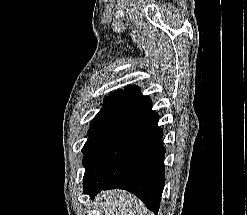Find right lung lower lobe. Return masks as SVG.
Masks as SVG:
<instances>
[{
  "instance_id": "obj_1",
  "label": "right lung lower lobe",
  "mask_w": 247,
  "mask_h": 215,
  "mask_svg": "<svg viewBox=\"0 0 247 215\" xmlns=\"http://www.w3.org/2000/svg\"><path fill=\"white\" fill-rule=\"evenodd\" d=\"M152 102L137 86L127 88L84 145V194L126 189L158 213L165 184L163 132Z\"/></svg>"
}]
</instances>
